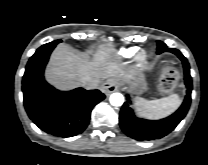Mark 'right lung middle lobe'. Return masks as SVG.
Listing matches in <instances>:
<instances>
[{
	"label": "right lung middle lobe",
	"instance_id": "right-lung-middle-lobe-1",
	"mask_svg": "<svg viewBox=\"0 0 208 165\" xmlns=\"http://www.w3.org/2000/svg\"><path fill=\"white\" fill-rule=\"evenodd\" d=\"M60 42H61V40H55V41H52L50 43H47V44L41 46L36 52L42 51L43 49L48 48L50 46H55V45H57Z\"/></svg>",
	"mask_w": 208,
	"mask_h": 165
}]
</instances>
